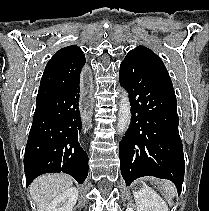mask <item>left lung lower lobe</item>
<instances>
[{"instance_id": "0a47b994", "label": "left lung lower lobe", "mask_w": 209, "mask_h": 211, "mask_svg": "<svg viewBox=\"0 0 209 211\" xmlns=\"http://www.w3.org/2000/svg\"><path fill=\"white\" fill-rule=\"evenodd\" d=\"M120 84L129 93L131 122L119 143L120 168L129 186L154 176L182 189L185 162L178 132L176 96L170 79L127 55L120 65Z\"/></svg>"}]
</instances>
